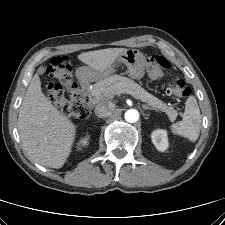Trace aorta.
Segmentation results:
<instances>
[{"mask_svg": "<svg viewBox=\"0 0 225 225\" xmlns=\"http://www.w3.org/2000/svg\"><path fill=\"white\" fill-rule=\"evenodd\" d=\"M125 120L129 123H134L139 119V112L135 109H129L125 112Z\"/></svg>", "mask_w": 225, "mask_h": 225, "instance_id": "obj_1", "label": "aorta"}]
</instances>
